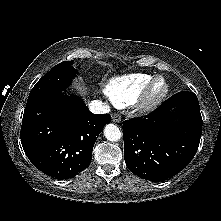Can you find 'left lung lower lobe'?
Returning a JSON list of instances; mask_svg holds the SVG:
<instances>
[{
	"mask_svg": "<svg viewBox=\"0 0 221 221\" xmlns=\"http://www.w3.org/2000/svg\"><path fill=\"white\" fill-rule=\"evenodd\" d=\"M201 133L196 94L178 92L144 118L124 121L126 166L133 174L154 182L170 178L192 160Z\"/></svg>",
	"mask_w": 221,
	"mask_h": 221,
	"instance_id": "obj_1",
	"label": "left lung lower lobe"
}]
</instances>
